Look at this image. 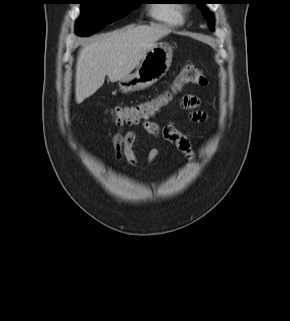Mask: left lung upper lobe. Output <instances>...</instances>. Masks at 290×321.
I'll list each match as a JSON object with an SVG mask.
<instances>
[{"label":"left lung upper lobe","mask_w":290,"mask_h":321,"mask_svg":"<svg viewBox=\"0 0 290 321\" xmlns=\"http://www.w3.org/2000/svg\"><path fill=\"white\" fill-rule=\"evenodd\" d=\"M207 0H197L195 4L201 9L203 16L207 19V23L209 28L213 29V14L208 12L206 8L203 6L206 4Z\"/></svg>","instance_id":"5c2ea615"}]
</instances>
